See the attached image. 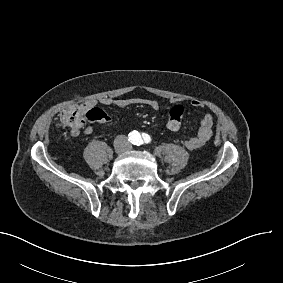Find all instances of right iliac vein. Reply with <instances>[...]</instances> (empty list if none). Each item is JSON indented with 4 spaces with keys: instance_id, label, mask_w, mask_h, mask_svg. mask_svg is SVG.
<instances>
[{
    "instance_id": "right-iliac-vein-1",
    "label": "right iliac vein",
    "mask_w": 283,
    "mask_h": 283,
    "mask_svg": "<svg viewBox=\"0 0 283 283\" xmlns=\"http://www.w3.org/2000/svg\"><path fill=\"white\" fill-rule=\"evenodd\" d=\"M124 151H125L124 146H120V147L117 149V152H118V153H123Z\"/></svg>"
}]
</instances>
